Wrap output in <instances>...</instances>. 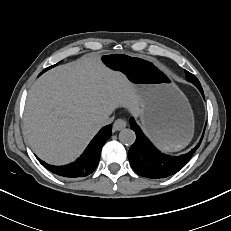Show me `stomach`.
Here are the masks:
<instances>
[{"instance_id": "0dacf381", "label": "stomach", "mask_w": 231, "mask_h": 231, "mask_svg": "<svg viewBox=\"0 0 231 231\" xmlns=\"http://www.w3.org/2000/svg\"><path fill=\"white\" fill-rule=\"evenodd\" d=\"M100 60L134 86L143 104L142 128L159 148L178 151L189 144L194 133L192 109L162 65L148 56L124 52L106 53Z\"/></svg>"}]
</instances>
